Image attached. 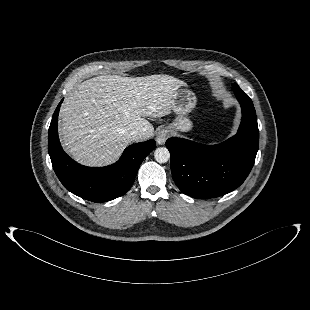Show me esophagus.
<instances>
[{"mask_svg":"<svg viewBox=\"0 0 310 310\" xmlns=\"http://www.w3.org/2000/svg\"><path fill=\"white\" fill-rule=\"evenodd\" d=\"M169 136V132L167 129H161L158 133H157V137H156V141L159 145H163L166 141V139Z\"/></svg>","mask_w":310,"mask_h":310,"instance_id":"1","label":"esophagus"}]
</instances>
